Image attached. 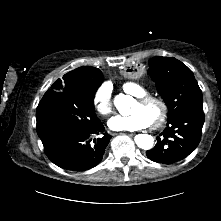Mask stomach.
Here are the masks:
<instances>
[{
    "label": "stomach",
    "mask_w": 221,
    "mask_h": 221,
    "mask_svg": "<svg viewBox=\"0 0 221 221\" xmlns=\"http://www.w3.org/2000/svg\"><path fill=\"white\" fill-rule=\"evenodd\" d=\"M122 72L127 79L138 80L144 76L145 70L141 64L129 62L123 66Z\"/></svg>",
    "instance_id": "0dacf381"
}]
</instances>
